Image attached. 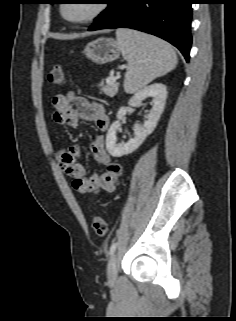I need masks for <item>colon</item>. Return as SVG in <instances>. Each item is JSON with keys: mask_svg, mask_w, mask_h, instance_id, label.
<instances>
[{"mask_svg": "<svg viewBox=\"0 0 236 321\" xmlns=\"http://www.w3.org/2000/svg\"><path fill=\"white\" fill-rule=\"evenodd\" d=\"M47 80L52 85H63L66 81L64 69L59 65L54 66L49 72ZM92 227L98 236H105L107 233L106 220L99 214L93 215Z\"/></svg>", "mask_w": 236, "mask_h": 321, "instance_id": "1", "label": "colon"}]
</instances>
